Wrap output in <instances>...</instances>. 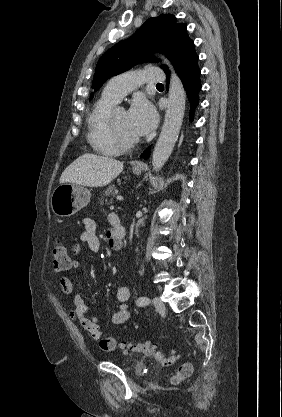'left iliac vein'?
<instances>
[{"mask_svg":"<svg viewBox=\"0 0 282 417\" xmlns=\"http://www.w3.org/2000/svg\"><path fill=\"white\" fill-rule=\"evenodd\" d=\"M152 303L158 312H165V305L159 297H154Z\"/></svg>","mask_w":282,"mask_h":417,"instance_id":"4c4485c4","label":"left iliac vein"}]
</instances>
